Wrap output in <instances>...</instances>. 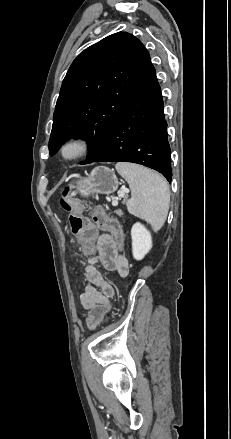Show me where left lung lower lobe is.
I'll return each mask as SVG.
<instances>
[{
    "label": "left lung lower lobe",
    "mask_w": 231,
    "mask_h": 439,
    "mask_svg": "<svg viewBox=\"0 0 231 439\" xmlns=\"http://www.w3.org/2000/svg\"><path fill=\"white\" fill-rule=\"evenodd\" d=\"M104 161L142 164L162 173L171 182L167 122L152 64L90 163Z\"/></svg>",
    "instance_id": "left-lung-lower-lobe-1"
}]
</instances>
